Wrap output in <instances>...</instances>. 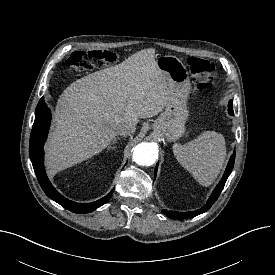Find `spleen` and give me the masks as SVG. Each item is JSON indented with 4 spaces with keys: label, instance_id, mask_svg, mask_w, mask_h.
<instances>
[{
    "label": "spleen",
    "instance_id": "obj_1",
    "mask_svg": "<svg viewBox=\"0 0 275 275\" xmlns=\"http://www.w3.org/2000/svg\"><path fill=\"white\" fill-rule=\"evenodd\" d=\"M173 152L178 162L203 186L217 178L226 159V144L222 134L205 131L197 138L181 145Z\"/></svg>",
    "mask_w": 275,
    "mask_h": 275
}]
</instances>
